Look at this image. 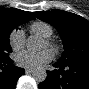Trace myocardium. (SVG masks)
<instances>
[{
	"mask_svg": "<svg viewBox=\"0 0 89 89\" xmlns=\"http://www.w3.org/2000/svg\"><path fill=\"white\" fill-rule=\"evenodd\" d=\"M47 46L54 52L59 53L61 51V47L58 43L53 42L51 40H46Z\"/></svg>",
	"mask_w": 89,
	"mask_h": 89,
	"instance_id": "obj_1",
	"label": "myocardium"
}]
</instances>
